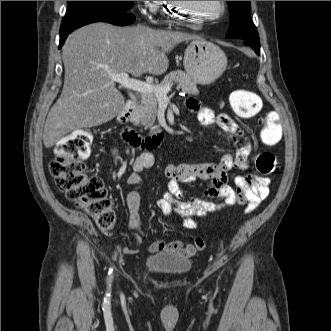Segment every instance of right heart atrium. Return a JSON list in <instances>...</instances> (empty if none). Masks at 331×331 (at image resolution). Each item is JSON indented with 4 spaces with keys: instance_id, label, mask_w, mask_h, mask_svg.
I'll use <instances>...</instances> for the list:
<instances>
[{
    "instance_id": "right-heart-atrium-1",
    "label": "right heart atrium",
    "mask_w": 331,
    "mask_h": 331,
    "mask_svg": "<svg viewBox=\"0 0 331 331\" xmlns=\"http://www.w3.org/2000/svg\"><path fill=\"white\" fill-rule=\"evenodd\" d=\"M143 9H140V16H146L148 19H151L157 11V5L161 1H137Z\"/></svg>"
}]
</instances>
